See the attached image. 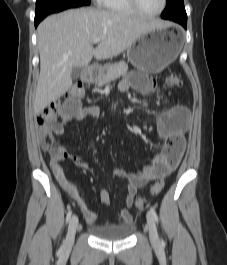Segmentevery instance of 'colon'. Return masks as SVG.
<instances>
[{"instance_id": "obj_1", "label": "colon", "mask_w": 227, "mask_h": 265, "mask_svg": "<svg viewBox=\"0 0 227 265\" xmlns=\"http://www.w3.org/2000/svg\"><path fill=\"white\" fill-rule=\"evenodd\" d=\"M166 84L169 88L181 87L183 81L178 74L172 73L167 77ZM80 92V99L83 96V88L81 85L73 86L65 96H74L73 92ZM64 96V99H65ZM64 99L57 100L50 105L46 106L37 117V125L41 131L40 142L43 148L48 149L53 145V135L51 132L52 123L55 121L58 113L60 112L61 102H64ZM180 159V156L177 154H169L166 157V163L169 167H175ZM164 187V180L160 179L157 181L151 188L152 195H158ZM136 206L139 209H143L146 206V200L142 197L136 199Z\"/></svg>"}]
</instances>
